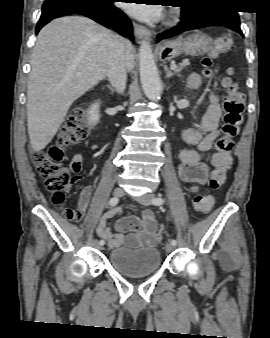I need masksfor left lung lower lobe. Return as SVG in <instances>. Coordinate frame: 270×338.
<instances>
[{
  "label": "left lung lower lobe",
  "mask_w": 270,
  "mask_h": 338,
  "mask_svg": "<svg viewBox=\"0 0 270 338\" xmlns=\"http://www.w3.org/2000/svg\"><path fill=\"white\" fill-rule=\"evenodd\" d=\"M210 26H225L243 36L240 29L239 15L237 11L227 9L221 5L210 7L194 16L185 17L182 15V21L178 26L162 32L158 35L159 40L174 37L182 32L205 28Z\"/></svg>",
  "instance_id": "0a47b994"
}]
</instances>
